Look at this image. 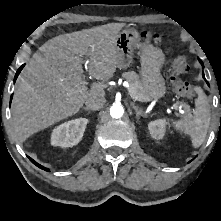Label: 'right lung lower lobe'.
Masks as SVG:
<instances>
[{
  "instance_id": "98d812e1",
  "label": "right lung lower lobe",
  "mask_w": 221,
  "mask_h": 221,
  "mask_svg": "<svg viewBox=\"0 0 221 221\" xmlns=\"http://www.w3.org/2000/svg\"><path fill=\"white\" fill-rule=\"evenodd\" d=\"M23 66H24V65H22V66L18 69V71H17V73H16V75H15L14 80H16V78L18 77V75H19L20 71L22 70ZM11 99H12V97H11ZM28 158L30 159V161H31L32 163H34V164H35L36 166H38L39 168H41V169H43V170H46V171H49V169H47V168L41 166L40 164H38L37 162H35L32 158H30V157H28Z\"/></svg>"
}]
</instances>
